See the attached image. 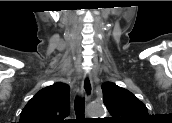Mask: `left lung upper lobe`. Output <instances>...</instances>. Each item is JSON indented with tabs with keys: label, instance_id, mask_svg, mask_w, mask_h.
<instances>
[{
	"label": "left lung upper lobe",
	"instance_id": "obj_1",
	"mask_svg": "<svg viewBox=\"0 0 172 123\" xmlns=\"http://www.w3.org/2000/svg\"><path fill=\"white\" fill-rule=\"evenodd\" d=\"M103 101L114 123H135L148 117L146 106L130 91L112 82L102 84Z\"/></svg>",
	"mask_w": 172,
	"mask_h": 123
}]
</instances>
